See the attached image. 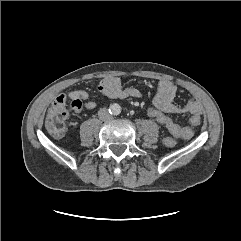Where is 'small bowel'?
I'll use <instances>...</instances> for the list:
<instances>
[{"label": "small bowel", "instance_id": "obj_1", "mask_svg": "<svg viewBox=\"0 0 241 241\" xmlns=\"http://www.w3.org/2000/svg\"><path fill=\"white\" fill-rule=\"evenodd\" d=\"M99 91L108 98H139L142 96L140 90L134 87L123 86L117 77H106L99 84ZM176 96V86L170 81H160L157 84L156 92L153 98V104L167 114L189 113L200 117L202 113L201 105L194 99H189L184 106L174 103ZM68 97L73 100L84 102V108L92 110L96 103L89 99V94L84 90H74L68 93Z\"/></svg>", "mask_w": 241, "mask_h": 241}]
</instances>
